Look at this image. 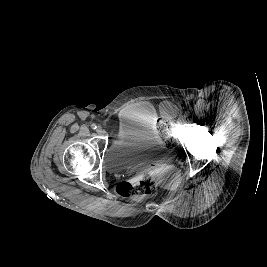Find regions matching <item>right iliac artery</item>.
<instances>
[{
	"instance_id": "82829eb1",
	"label": "right iliac artery",
	"mask_w": 267,
	"mask_h": 267,
	"mask_svg": "<svg viewBox=\"0 0 267 267\" xmlns=\"http://www.w3.org/2000/svg\"><path fill=\"white\" fill-rule=\"evenodd\" d=\"M91 127H92V129H96L97 128L96 124H92Z\"/></svg>"
}]
</instances>
